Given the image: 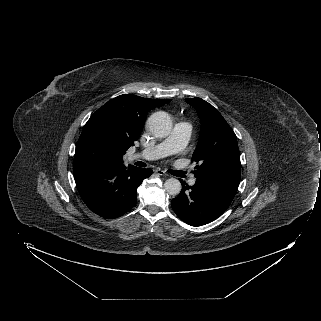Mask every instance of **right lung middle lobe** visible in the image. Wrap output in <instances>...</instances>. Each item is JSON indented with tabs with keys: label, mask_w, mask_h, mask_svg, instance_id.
I'll return each mask as SVG.
<instances>
[{
	"label": "right lung middle lobe",
	"mask_w": 321,
	"mask_h": 321,
	"mask_svg": "<svg viewBox=\"0 0 321 321\" xmlns=\"http://www.w3.org/2000/svg\"><path fill=\"white\" fill-rule=\"evenodd\" d=\"M118 160L114 143L98 130L82 132L75 150L74 174L113 166Z\"/></svg>",
	"instance_id": "right-lung-middle-lobe-1"
}]
</instances>
